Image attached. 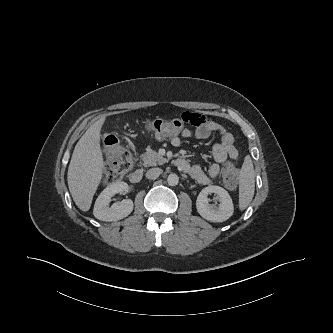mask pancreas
Instances as JSON below:
<instances>
[{"label": "pancreas", "mask_w": 333, "mask_h": 333, "mask_svg": "<svg viewBox=\"0 0 333 333\" xmlns=\"http://www.w3.org/2000/svg\"><path fill=\"white\" fill-rule=\"evenodd\" d=\"M141 159L143 160L142 165L145 167L161 165L167 162L166 158L162 157L159 153L153 150H148L147 152L143 153L141 155Z\"/></svg>", "instance_id": "pancreas-1"}]
</instances>
